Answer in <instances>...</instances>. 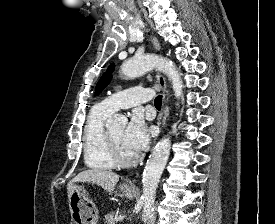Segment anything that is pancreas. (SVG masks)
Here are the masks:
<instances>
[{
    "mask_svg": "<svg viewBox=\"0 0 275 224\" xmlns=\"http://www.w3.org/2000/svg\"><path fill=\"white\" fill-rule=\"evenodd\" d=\"M114 216H115L114 212L108 213L105 216V224H116V220H115Z\"/></svg>",
    "mask_w": 275,
    "mask_h": 224,
    "instance_id": "1",
    "label": "pancreas"
}]
</instances>
